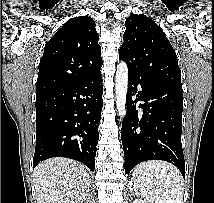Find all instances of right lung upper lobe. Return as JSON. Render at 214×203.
<instances>
[{"label":"right lung upper lobe","instance_id":"1","mask_svg":"<svg viewBox=\"0 0 214 203\" xmlns=\"http://www.w3.org/2000/svg\"><path fill=\"white\" fill-rule=\"evenodd\" d=\"M95 22L86 16L67 21L46 43L39 63L36 96L100 71L101 47Z\"/></svg>","mask_w":214,"mask_h":203}]
</instances>
